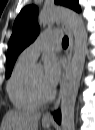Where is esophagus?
<instances>
[{"label": "esophagus", "instance_id": "34e87169", "mask_svg": "<svg viewBox=\"0 0 95 130\" xmlns=\"http://www.w3.org/2000/svg\"><path fill=\"white\" fill-rule=\"evenodd\" d=\"M62 28L66 32V34H67V36L69 38V46H68V48L66 50L67 67L65 68V71H67V69L70 66L72 55H73V52H74V40H73L72 31H71L70 27L68 26V24L62 23ZM59 104H60V96L55 101V103L53 104V106L51 107V109L49 111H47L43 115V120H46V121L53 120L52 112L58 109Z\"/></svg>", "mask_w": 95, "mask_h": 130}]
</instances>
